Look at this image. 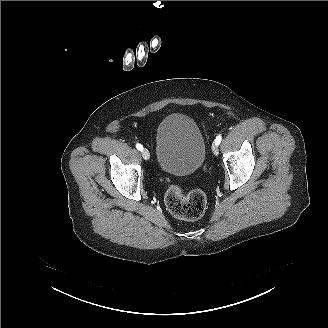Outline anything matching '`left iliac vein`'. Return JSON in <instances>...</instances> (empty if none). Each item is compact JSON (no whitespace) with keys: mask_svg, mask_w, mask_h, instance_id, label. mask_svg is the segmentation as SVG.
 Segmentation results:
<instances>
[{"mask_svg":"<svg viewBox=\"0 0 328 328\" xmlns=\"http://www.w3.org/2000/svg\"><path fill=\"white\" fill-rule=\"evenodd\" d=\"M211 149H212V152H213L214 154H216V155L218 154V151H219V150H218V145H217V144L214 143V144L212 145Z\"/></svg>","mask_w":328,"mask_h":328,"instance_id":"4c4485c4","label":"left iliac vein"}]
</instances>
